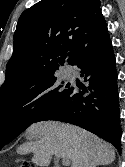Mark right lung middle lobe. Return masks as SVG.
Masks as SVG:
<instances>
[{"label": "right lung middle lobe", "mask_w": 125, "mask_h": 167, "mask_svg": "<svg viewBox=\"0 0 125 167\" xmlns=\"http://www.w3.org/2000/svg\"><path fill=\"white\" fill-rule=\"evenodd\" d=\"M70 84L55 76L18 95L0 100V149L29 127L52 103L64 100Z\"/></svg>", "instance_id": "dd1d6c3e"}]
</instances>
